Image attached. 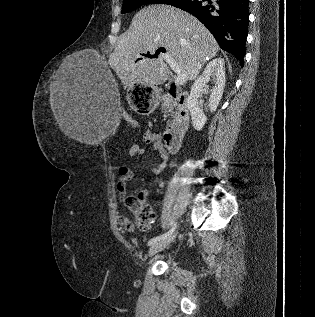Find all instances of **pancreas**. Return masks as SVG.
Wrapping results in <instances>:
<instances>
[{
  "mask_svg": "<svg viewBox=\"0 0 315 317\" xmlns=\"http://www.w3.org/2000/svg\"><path fill=\"white\" fill-rule=\"evenodd\" d=\"M164 98H166V96H164ZM165 113H168L167 111H165Z\"/></svg>",
  "mask_w": 315,
  "mask_h": 317,
  "instance_id": "obj_1",
  "label": "pancreas"
}]
</instances>
